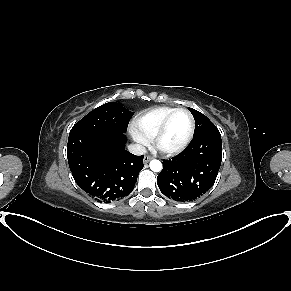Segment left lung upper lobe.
<instances>
[{
  "instance_id": "left-lung-upper-lobe-1",
  "label": "left lung upper lobe",
  "mask_w": 291,
  "mask_h": 291,
  "mask_svg": "<svg viewBox=\"0 0 291 291\" xmlns=\"http://www.w3.org/2000/svg\"><path fill=\"white\" fill-rule=\"evenodd\" d=\"M195 120V131L193 138H197L211 131H217V127L202 113L195 109L188 108Z\"/></svg>"
}]
</instances>
